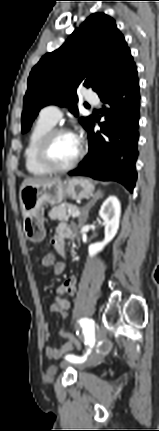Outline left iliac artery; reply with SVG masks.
Listing matches in <instances>:
<instances>
[{
	"label": "left iliac artery",
	"instance_id": "obj_1",
	"mask_svg": "<svg viewBox=\"0 0 159 431\" xmlns=\"http://www.w3.org/2000/svg\"><path fill=\"white\" fill-rule=\"evenodd\" d=\"M81 326L83 327L85 338L87 343L92 347L94 345V321L91 319H81L80 321ZM91 352V349H88L86 354H84L82 357L75 356V355H68L66 356V360L73 363H83L89 353Z\"/></svg>",
	"mask_w": 159,
	"mask_h": 431
}]
</instances>
